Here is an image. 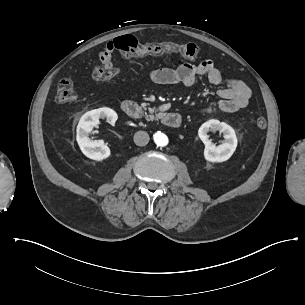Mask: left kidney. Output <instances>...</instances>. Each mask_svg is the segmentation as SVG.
Masks as SVG:
<instances>
[{
    "instance_id": "left-kidney-1",
    "label": "left kidney",
    "mask_w": 305,
    "mask_h": 305,
    "mask_svg": "<svg viewBox=\"0 0 305 305\" xmlns=\"http://www.w3.org/2000/svg\"><path fill=\"white\" fill-rule=\"evenodd\" d=\"M210 130L224 133L225 140L222 144L215 146L210 142L207 135ZM198 136L205 144L204 158L209 163H222L229 160L237 148L238 140L234 129L219 120H208L202 124L198 130Z\"/></svg>"
}]
</instances>
